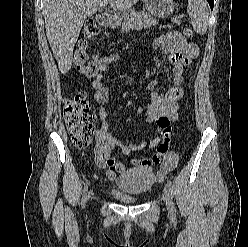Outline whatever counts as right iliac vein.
I'll return each instance as SVG.
<instances>
[{
    "mask_svg": "<svg viewBox=\"0 0 248 247\" xmlns=\"http://www.w3.org/2000/svg\"><path fill=\"white\" fill-rule=\"evenodd\" d=\"M90 197H91V195L89 194V195H88V198L90 199Z\"/></svg>",
    "mask_w": 248,
    "mask_h": 247,
    "instance_id": "1",
    "label": "right iliac vein"
}]
</instances>
